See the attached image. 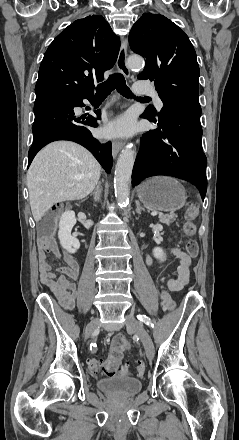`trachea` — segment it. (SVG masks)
I'll return each instance as SVG.
<instances>
[{
    "label": "trachea",
    "mask_w": 239,
    "mask_h": 440,
    "mask_svg": "<svg viewBox=\"0 0 239 440\" xmlns=\"http://www.w3.org/2000/svg\"><path fill=\"white\" fill-rule=\"evenodd\" d=\"M117 90L121 95L126 98L147 99L148 97H135L130 88L126 85V80L121 73H113L106 80V82L100 83L96 88L95 98L105 99L113 90Z\"/></svg>",
    "instance_id": "trachea-1"
}]
</instances>
